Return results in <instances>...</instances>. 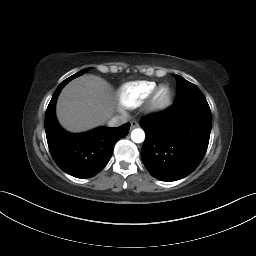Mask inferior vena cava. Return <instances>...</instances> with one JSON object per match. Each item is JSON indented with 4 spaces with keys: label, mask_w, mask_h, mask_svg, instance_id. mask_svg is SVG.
<instances>
[{
    "label": "inferior vena cava",
    "mask_w": 256,
    "mask_h": 256,
    "mask_svg": "<svg viewBox=\"0 0 256 256\" xmlns=\"http://www.w3.org/2000/svg\"><path fill=\"white\" fill-rule=\"evenodd\" d=\"M127 122V118L124 115L114 116L111 120L108 121L109 127H118Z\"/></svg>",
    "instance_id": "inferior-vena-cava-1"
}]
</instances>
